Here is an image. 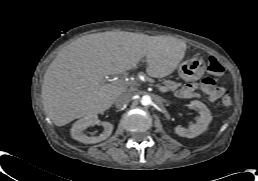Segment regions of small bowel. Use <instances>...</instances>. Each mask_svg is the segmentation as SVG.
Wrapping results in <instances>:
<instances>
[{
  "instance_id": "c3829d8e",
  "label": "small bowel",
  "mask_w": 258,
  "mask_h": 181,
  "mask_svg": "<svg viewBox=\"0 0 258 181\" xmlns=\"http://www.w3.org/2000/svg\"><path fill=\"white\" fill-rule=\"evenodd\" d=\"M197 90H201L203 93L208 95V99L211 103L217 101L224 92V88L217 86L214 79L205 78L199 85L188 84L177 91L176 95L179 98L189 99L198 97Z\"/></svg>"
}]
</instances>
